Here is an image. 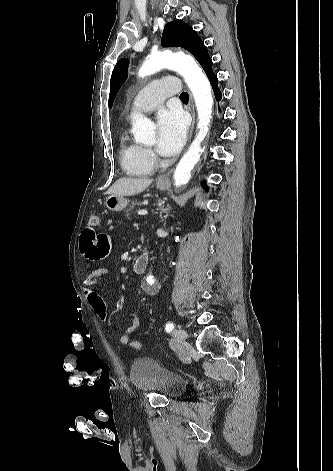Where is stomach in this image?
<instances>
[{"label":"stomach","mask_w":333,"mask_h":471,"mask_svg":"<svg viewBox=\"0 0 333 471\" xmlns=\"http://www.w3.org/2000/svg\"><path fill=\"white\" fill-rule=\"evenodd\" d=\"M169 184L157 183V189L164 191L168 188ZM106 207L112 212L122 211L128 205V200L122 195L110 194L105 201Z\"/></svg>","instance_id":"0dacf381"}]
</instances>
